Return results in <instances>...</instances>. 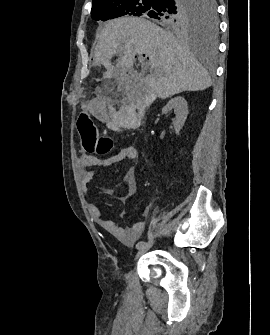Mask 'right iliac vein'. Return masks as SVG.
Segmentation results:
<instances>
[{
  "mask_svg": "<svg viewBox=\"0 0 270 335\" xmlns=\"http://www.w3.org/2000/svg\"><path fill=\"white\" fill-rule=\"evenodd\" d=\"M153 244H154V241L151 240V241H149L148 243H146L143 247L139 248V249H138V252H137V254H136V256H135V259H137L139 256H141V255L144 254L145 252H147V251L152 247ZM129 276H130V273L126 274V275H125V279H128Z\"/></svg>",
  "mask_w": 270,
  "mask_h": 335,
  "instance_id": "right-iliac-vein-1",
  "label": "right iliac vein"
}]
</instances>
